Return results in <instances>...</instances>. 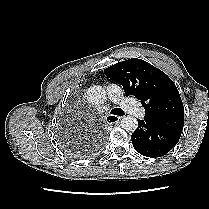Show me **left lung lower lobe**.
Here are the masks:
<instances>
[{
  "label": "left lung lower lobe",
  "mask_w": 209,
  "mask_h": 209,
  "mask_svg": "<svg viewBox=\"0 0 209 209\" xmlns=\"http://www.w3.org/2000/svg\"><path fill=\"white\" fill-rule=\"evenodd\" d=\"M182 130L163 127L149 119L138 120L131 136L135 150L143 156L156 158L168 153L179 141Z\"/></svg>",
  "instance_id": "obj_1"
}]
</instances>
